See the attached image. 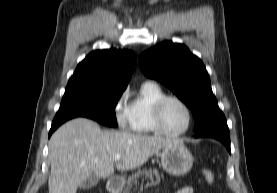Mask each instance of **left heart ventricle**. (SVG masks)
<instances>
[{"mask_svg":"<svg viewBox=\"0 0 277 193\" xmlns=\"http://www.w3.org/2000/svg\"><path fill=\"white\" fill-rule=\"evenodd\" d=\"M163 124L169 131L176 132L187 125L188 116L184 107L174 100L165 103L162 111Z\"/></svg>","mask_w":277,"mask_h":193,"instance_id":"obj_1","label":"left heart ventricle"}]
</instances>
